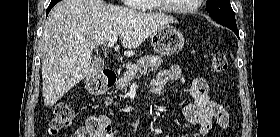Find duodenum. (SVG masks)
<instances>
[{
    "mask_svg": "<svg viewBox=\"0 0 280 137\" xmlns=\"http://www.w3.org/2000/svg\"><path fill=\"white\" fill-rule=\"evenodd\" d=\"M117 80H118V77H117L116 72H114V71H107L103 75L99 85L103 89H109V88L113 87L117 83Z\"/></svg>",
    "mask_w": 280,
    "mask_h": 137,
    "instance_id": "410a0bca",
    "label": "duodenum"
}]
</instances>
